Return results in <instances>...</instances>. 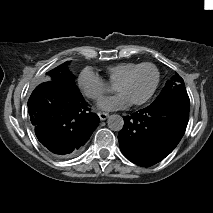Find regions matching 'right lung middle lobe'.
<instances>
[{"label": "right lung middle lobe", "instance_id": "right-lung-middle-lobe-1", "mask_svg": "<svg viewBox=\"0 0 213 213\" xmlns=\"http://www.w3.org/2000/svg\"><path fill=\"white\" fill-rule=\"evenodd\" d=\"M69 63L70 62L67 61L59 65L58 67L54 68L53 70L47 72L46 73L47 80L58 81L70 86L73 89L78 90L74 82V75L70 73L69 69L67 68V65Z\"/></svg>", "mask_w": 213, "mask_h": 213}]
</instances>
